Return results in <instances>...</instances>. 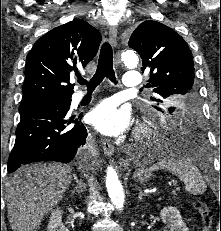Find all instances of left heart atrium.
I'll return each instance as SVG.
<instances>
[{
    "label": "left heart atrium",
    "instance_id": "1",
    "mask_svg": "<svg viewBox=\"0 0 221 231\" xmlns=\"http://www.w3.org/2000/svg\"><path fill=\"white\" fill-rule=\"evenodd\" d=\"M131 121L127 108H120L114 100L107 99L90 113V122L103 134L117 136L128 129Z\"/></svg>",
    "mask_w": 221,
    "mask_h": 231
}]
</instances>
